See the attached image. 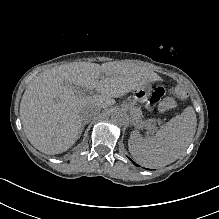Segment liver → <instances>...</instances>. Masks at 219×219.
<instances>
[{"instance_id":"6515ba94","label":"liver","mask_w":219,"mask_h":219,"mask_svg":"<svg viewBox=\"0 0 219 219\" xmlns=\"http://www.w3.org/2000/svg\"><path fill=\"white\" fill-rule=\"evenodd\" d=\"M150 72L133 64L88 62L45 69L29 84L20 103V118L29 142L39 151L65 152L80 137L87 114L102 108L150 80ZM96 90L93 96L75 95V87Z\"/></svg>"}]
</instances>
